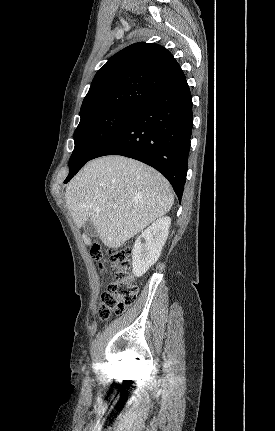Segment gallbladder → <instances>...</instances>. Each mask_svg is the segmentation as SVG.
I'll use <instances>...</instances> for the list:
<instances>
[{
  "label": "gallbladder",
  "mask_w": 275,
  "mask_h": 431,
  "mask_svg": "<svg viewBox=\"0 0 275 431\" xmlns=\"http://www.w3.org/2000/svg\"><path fill=\"white\" fill-rule=\"evenodd\" d=\"M84 231L91 237H96L98 235L97 230L95 229L92 221L88 219L83 225Z\"/></svg>",
  "instance_id": "obj_1"
}]
</instances>
